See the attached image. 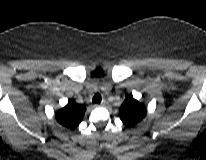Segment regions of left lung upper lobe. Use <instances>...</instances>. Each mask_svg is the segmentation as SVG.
I'll use <instances>...</instances> for the list:
<instances>
[{
	"instance_id": "left-lung-upper-lobe-1",
	"label": "left lung upper lobe",
	"mask_w": 206,
	"mask_h": 160,
	"mask_svg": "<svg viewBox=\"0 0 206 160\" xmlns=\"http://www.w3.org/2000/svg\"><path fill=\"white\" fill-rule=\"evenodd\" d=\"M146 112L145 105L130 96L122 103L119 116L126 126L133 127L145 118Z\"/></svg>"
}]
</instances>
